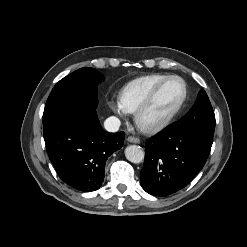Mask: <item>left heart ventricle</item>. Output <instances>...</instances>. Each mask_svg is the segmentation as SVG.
<instances>
[{
  "instance_id": "obj_1",
  "label": "left heart ventricle",
  "mask_w": 247,
  "mask_h": 247,
  "mask_svg": "<svg viewBox=\"0 0 247 247\" xmlns=\"http://www.w3.org/2000/svg\"><path fill=\"white\" fill-rule=\"evenodd\" d=\"M184 93L183 84L179 80L167 82L157 94L154 102L144 115L147 123L156 122L171 113L180 102Z\"/></svg>"
}]
</instances>
